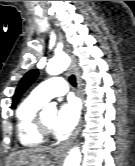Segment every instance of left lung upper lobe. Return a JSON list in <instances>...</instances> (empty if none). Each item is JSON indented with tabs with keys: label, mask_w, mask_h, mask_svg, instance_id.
I'll return each instance as SVG.
<instances>
[{
	"label": "left lung upper lobe",
	"mask_w": 135,
	"mask_h": 166,
	"mask_svg": "<svg viewBox=\"0 0 135 166\" xmlns=\"http://www.w3.org/2000/svg\"><path fill=\"white\" fill-rule=\"evenodd\" d=\"M38 76V70L32 69L29 72H27L24 77L21 79V81L18 84V87L15 91L14 97H13V103L12 106L15 107L19 98L24 93V91L35 81V79Z\"/></svg>",
	"instance_id": "1"
}]
</instances>
